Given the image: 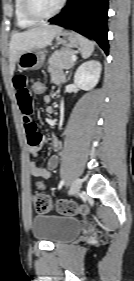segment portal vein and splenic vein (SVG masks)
Masks as SVG:
<instances>
[{"label": "portal vein and splenic vein", "mask_w": 134, "mask_h": 281, "mask_svg": "<svg viewBox=\"0 0 134 281\" xmlns=\"http://www.w3.org/2000/svg\"><path fill=\"white\" fill-rule=\"evenodd\" d=\"M76 60H77L76 55H73V56L71 57V61H72V62H75Z\"/></svg>", "instance_id": "portal-vein-and-splenic-vein-1"}]
</instances>
